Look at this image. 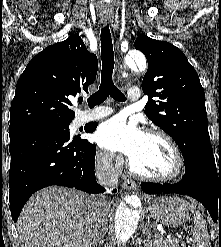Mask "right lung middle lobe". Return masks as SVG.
<instances>
[{"mask_svg":"<svg viewBox=\"0 0 221 247\" xmlns=\"http://www.w3.org/2000/svg\"><path fill=\"white\" fill-rule=\"evenodd\" d=\"M69 124L70 122H65V123H50V124H44L38 127H43L47 128L50 130H53L57 133H60L66 137L70 138V132H69Z\"/></svg>","mask_w":221,"mask_h":247,"instance_id":"dd1d6c3e","label":"right lung middle lobe"}]
</instances>
